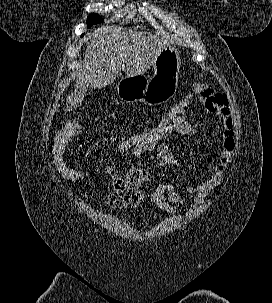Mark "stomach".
<instances>
[{"label":"stomach","mask_w":272,"mask_h":303,"mask_svg":"<svg viewBox=\"0 0 272 303\" xmlns=\"http://www.w3.org/2000/svg\"><path fill=\"white\" fill-rule=\"evenodd\" d=\"M180 65L179 51L170 45L166 46L154 62V75L151 78L139 75L122 79L117 85V93L129 102L148 105L160 103L176 91Z\"/></svg>","instance_id":"stomach-1"}]
</instances>
